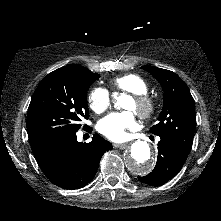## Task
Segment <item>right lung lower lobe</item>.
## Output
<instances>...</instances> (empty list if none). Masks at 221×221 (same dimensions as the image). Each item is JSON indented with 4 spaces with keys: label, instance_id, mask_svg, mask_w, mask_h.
<instances>
[{
    "label": "right lung lower lobe",
    "instance_id": "obj_1",
    "mask_svg": "<svg viewBox=\"0 0 221 221\" xmlns=\"http://www.w3.org/2000/svg\"><path fill=\"white\" fill-rule=\"evenodd\" d=\"M91 130L90 127H87ZM77 131L52 135L32 145L35 159L55 185L65 189H78L95 176L102 155L112 144L94 134L90 143L77 141Z\"/></svg>",
    "mask_w": 221,
    "mask_h": 221
}]
</instances>
